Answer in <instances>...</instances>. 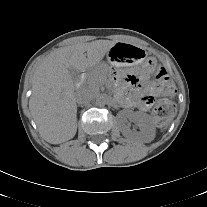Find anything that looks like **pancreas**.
<instances>
[{"instance_id":"pancreas-1","label":"pancreas","mask_w":207,"mask_h":207,"mask_svg":"<svg viewBox=\"0 0 207 207\" xmlns=\"http://www.w3.org/2000/svg\"><path fill=\"white\" fill-rule=\"evenodd\" d=\"M107 79V66L101 65L97 67L88 77V88L95 91L98 90L99 85Z\"/></svg>"}]
</instances>
